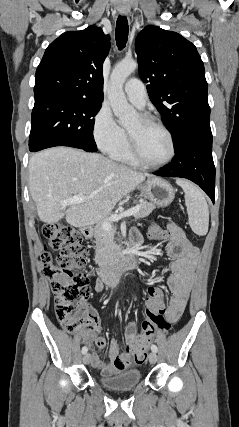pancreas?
I'll return each mask as SVG.
<instances>
[{"label":"pancreas","mask_w":239,"mask_h":427,"mask_svg":"<svg viewBox=\"0 0 239 427\" xmlns=\"http://www.w3.org/2000/svg\"><path fill=\"white\" fill-rule=\"evenodd\" d=\"M140 206V211L134 215L135 219L147 217L155 209L154 204L146 202L144 200H140ZM114 234V229H112L110 232H106L102 228L101 223L95 226L94 242L96 244L95 258L97 263L104 264L107 262H112L114 257L116 256Z\"/></svg>","instance_id":"pancreas-1"}]
</instances>
